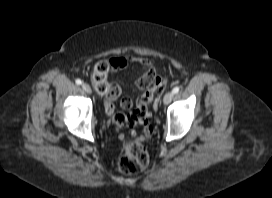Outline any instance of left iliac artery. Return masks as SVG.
Here are the masks:
<instances>
[{
	"label": "left iliac artery",
	"instance_id": "44dca946",
	"mask_svg": "<svg viewBox=\"0 0 272 198\" xmlns=\"http://www.w3.org/2000/svg\"><path fill=\"white\" fill-rule=\"evenodd\" d=\"M179 90H180V88L177 86V87L173 88L172 92H173V94H176L179 92Z\"/></svg>",
	"mask_w": 272,
	"mask_h": 198
}]
</instances>
